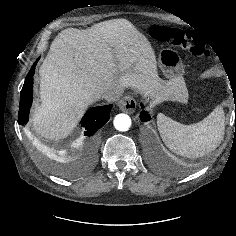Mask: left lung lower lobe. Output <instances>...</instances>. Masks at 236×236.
<instances>
[{
  "label": "left lung lower lobe",
  "mask_w": 236,
  "mask_h": 236,
  "mask_svg": "<svg viewBox=\"0 0 236 236\" xmlns=\"http://www.w3.org/2000/svg\"><path fill=\"white\" fill-rule=\"evenodd\" d=\"M143 108V105H141ZM140 119L142 122L149 121L151 119L150 115L147 113V111H142L140 114Z\"/></svg>",
  "instance_id": "0a47b994"
}]
</instances>
